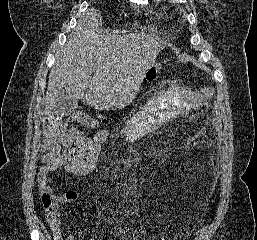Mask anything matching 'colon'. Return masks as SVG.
<instances>
[{"instance_id": "1", "label": "colon", "mask_w": 257, "mask_h": 240, "mask_svg": "<svg viewBox=\"0 0 257 240\" xmlns=\"http://www.w3.org/2000/svg\"><path fill=\"white\" fill-rule=\"evenodd\" d=\"M161 68H162L161 64H157L152 68H150L147 74L145 75L144 81H152L153 79H155L159 71L161 70ZM200 94L202 99L201 107L203 108L206 105V103L212 98L214 94V89L211 86H206L201 89ZM41 201L46 211L49 212L54 218H57V215H58L57 199L51 194H44L41 197Z\"/></svg>"}]
</instances>
